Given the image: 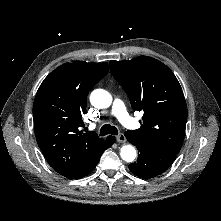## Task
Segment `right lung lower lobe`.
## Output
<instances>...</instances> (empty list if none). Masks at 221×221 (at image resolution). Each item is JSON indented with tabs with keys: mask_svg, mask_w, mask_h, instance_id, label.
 <instances>
[{
	"mask_svg": "<svg viewBox=\"0 0 221 221\" xmlns=\"http://www.w3.org/2000/svg\"><path fill=\"white\" fill-rule=\"evenodd\" d=\"M115 142V137L114 136H109L107 137V139L105 140L104 146L102 147V149L100 151H98L85 165V167L73 178H81L84 177L86 175H88L90 172H92L96 165L98 164L100 157L102 155V153L108 149L113 143Z\"/></svg>",
	"mask_w": 221,
	"mask_h": 221,
	"instance_id": "obj_1",
	"label": "right lung lower lobe"
}]
</instances>
